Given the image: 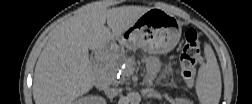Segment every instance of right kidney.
Listing matches in <instances>:
<instances>
[{"label": "right kidney", "instance_id": "ca27d5eb", "mask_svg": "<svg viewBox=\"0 0 252 104\" xmlns=\"http://www.w3.org/2000/svg\"><path fill=\"white\" fill-rule=\"evenodd\" d=\"M75 103L76 104H104L105 100L99 96H85L76 100Z\"/></svg>", "mask_w": 252, "mask_h": 104}]
</instances>
